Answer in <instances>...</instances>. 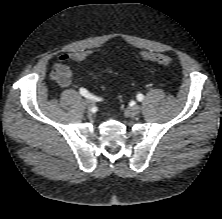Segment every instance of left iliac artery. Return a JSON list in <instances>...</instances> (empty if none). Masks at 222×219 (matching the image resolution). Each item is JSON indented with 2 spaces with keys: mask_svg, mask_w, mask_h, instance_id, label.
I'll use <instances>...</instances> for the list:
<instances>
[{
  "mask_svg": "<svg viewBox=\"0 0 222 219\" xmlns=\"http://www.w3.org/2000/svg\"><path fill=\"white\" fill-rule=\"evenodd\" d=\"M144 99V96L142 94L137 95V100L142 101Z\"/></svg>",
  "mask_w": 222,
  "mask_h": 219,
  "instance_id": "left-iliac-artery-1",
  "label": "left iliac artery"
}]
</instances>
